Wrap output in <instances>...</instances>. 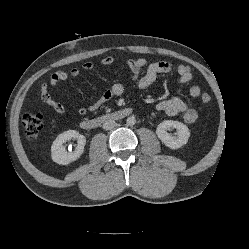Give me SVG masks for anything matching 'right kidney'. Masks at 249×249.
I'll return each instance as SVG.
<instances>
[{
  "label": "right kidney",
  "instance_id": "1",
  "mask_svg": "<svg viewBox=\"0 0 249 249\" xmlns=\"http://www.w3.org/2000/svg\"><path fill=\"white\" fill-rule=\"evenodd\" d=\"M76 139L77 146L74 152H68L63 145L66 141ZM86 144L85 136L75 130H68L59 134L51 146V158L57 164L67 165L77 160L84 151Z\"/></svg>",
  "mask_w": 249,
  "mask_h": 249
}]
</instances>
